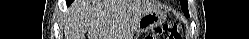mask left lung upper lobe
Returning a JSON list of instances; mask_svg holds the SVG:
<instances>
[{
    "label": "left lung upper lobe",
    "mask_w": 249,
    "mask_h": 39,
    "mask_svg": "<svg viewBox=\"0 0 249 39\" xmlns=\"http://www.w3.org/2000/svg\"><path fill=\"white\" fill-rule=\"evenodd\" d=\"M181 8L185 15H188V3L186 0H181Z\"/></svg>",
    "instance_id": "1"
}]
</instances>
